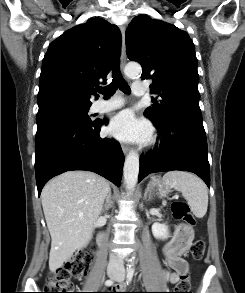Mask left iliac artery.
Segmentation results:
<instances>
[{
	"label": "left iliac artery",
	"instance_id": "1",
	"mask_svg": "<svg viewBox=\"0 0 245 293\" xmlns=\"http://www.w3.org/2000/svg\"><path fill=\"white\" fill-rule=\"evenodd\" d=\"M134 272H135V269L133 267H130L128 269V272H127V282H130L132 280Z\"/></svg>",
	"mask_w": 245,
	"mask_h": 293
}]
</instances>
